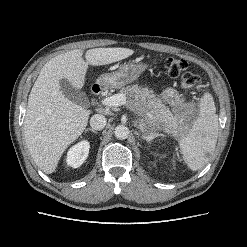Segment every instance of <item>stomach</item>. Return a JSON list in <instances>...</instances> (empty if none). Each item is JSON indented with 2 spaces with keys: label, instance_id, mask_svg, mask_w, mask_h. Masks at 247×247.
Instances as JSON below:
<instances>
[{
  "label": "stomach",
  "instance_id": "0dacf381",
  "mask_svg": "<svg viewBox=\"0 0 247 247\" xmlns=\"http://www.w3.org/2000/svg\"><path fill=\"white\" fill-rule=\"evenodd\" d=\"M144 69V65L129 61L121 65L115 72L102 74L97 79V84L103 88H121L137 80ZM162 97L172 106H175L180 102V96L174 88H166L162 93ZM154 125L155 122L148 118L139 121V127L145 136H148L153 131ZM190 126L191 122L176 115L174 116L173 126L165 127L168 132L181 137L185 135Z\"/></svg>",
  "mask_w": 247,
  "mask_h": 247
}]
</instances>
